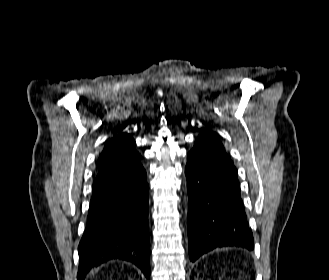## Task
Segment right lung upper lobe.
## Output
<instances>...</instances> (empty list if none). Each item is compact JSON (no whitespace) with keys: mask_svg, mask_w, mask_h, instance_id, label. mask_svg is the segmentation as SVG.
<instances>
[{"mask_svg":"<svg viewBox=\"0 0 329 280\" xmlns=\"http://www.w3.org/2000/svg\"><path fill=\"white\" fill-rule=\"evenodd\" d=\"M121 130L118 135L106 142L98 161L99 172L117 167H131L140 164L141 156L135 150L136 143L133 137Z\"/></svg>","mask_w":329,"mask_h":280,"instance_id":"right-lung-upper-lobe-1","label":"right lung upper lobe"}]
</instances>
